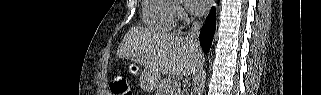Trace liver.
Here are the masks:
<instances>
[{"label":"liver","instance_id":"1","mask_svg":"<svg viewBox=\"0 0 321 95\" xmlns=\"http://www.w3.org/2000/svg\"><path fill=\"white\" fill-rule=\"evenodd\" d=\"M117 56L139 63L157 77L168 73L187 77L201 63L202 52L188 37L134 27L124 36Z\"/></svg>","mask_w":321,"mask_h":95}]
</instances>
